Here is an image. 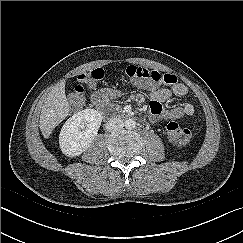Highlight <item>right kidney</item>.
<instances>
[{
	"label": "right kidney",
	"instance_id": "1",
	"mask_svg": "<svg viewBox=\"0 0 243 243\" xmlns=\"http://www.w3.org/2000/svg\"><path fill=\"white\" fill-rule=\"evenodd\" d=\"M102 122L101 114L94 109H85L70 117L59 135V145L68 157H76L85 152Z\"/></svg>",
	"mask_w": 243,
	"mask_h": 243
}]
</instances>
